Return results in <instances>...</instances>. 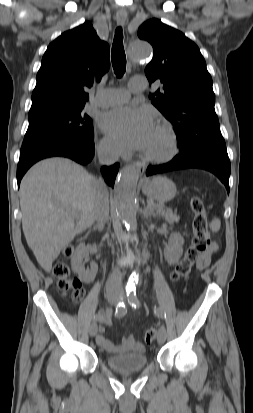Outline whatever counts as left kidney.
I'll return each instance as SVG.
<instances>
[{
    "mask_svg": "<svg viewBox=\"0 0 253 413\" xmlns=\"http://www.w3.org/2000/svg\"><path fill=\"white\" fill-rule=\"evenodd\" d=\"M184 239L179 233H172L164 248V257L170 265L178 263L183 254Z\"/></svg>",
    "mask_w": 253,
    "mask_h": 413,
    "instance_id": "obj_1",
    "label": "left kidney"
}]
</instances>
